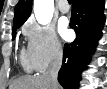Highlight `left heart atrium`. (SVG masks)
I'll use <instances>...</instances> for the list:
<instances>
[{"label":"left heart atrium","instance_id":"39dd6f15","mask_svg":"<svg viewBox=\"0 0 107 89\" xmlns=\"http://www.w3.org/2000/svg\"><path fill=\"white\" fill-rule=\"evenodd\" d=\"M59 32L63 38H68L70 35V31L67 27V23L62 21L59 25Z\"/></svg>","mask_w":107,"mask_h":89}]
</instances>
